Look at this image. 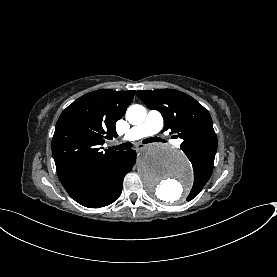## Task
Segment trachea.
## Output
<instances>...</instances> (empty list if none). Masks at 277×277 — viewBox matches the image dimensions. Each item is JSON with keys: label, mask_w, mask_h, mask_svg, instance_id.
I'll use <instances>...</instances> for the list:
<instances>
[{"label": "trachea", "mask_w": 277, "mask_h": 277, "mask_svg": "<svg viewBox=\"0 0 277 277\" xmlns=\"http://www.w3.org/2000/svg\"><path fill=\"white\" fill-rule=\"evenodd\" d=\"M153 141H164L160 138H150V139H145L142 141V143H149V142H153ZM113 149H116V150H128L130 148H132V143L130 142H126V143H123L121 145H118V146H112Z\"/></svg>", "instance_id": "trachea-1"}]
</instances>
